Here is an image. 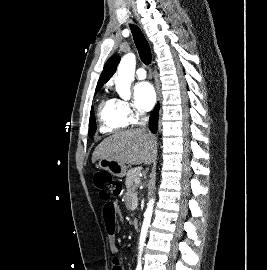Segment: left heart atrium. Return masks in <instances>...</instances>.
<instances>
[{"instance_id": "1", "label": "left heart atrium", "mask_w": 267, "mask_h": 270, "mask_svg": "<svg viewBox=\"0 0 267 270\" xmlns=\"http://www.w3.org/2000/svg\"><path fill=\"white\" fill-rule=\"evenodd\" d=\"M155 91L148 82H140L134 88L135 105L140 111L150 110L155 103Z\"/></svg>"}]
</instances>
